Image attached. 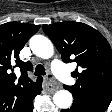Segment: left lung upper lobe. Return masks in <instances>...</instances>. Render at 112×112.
I'll use <instances>...</instances> for the list:
<instances>
[{
    "label": "left lung upper lobe",
    "instance_id": "left-lung-upper-lobe-1",
    "mask_svg": "<svg viewBox=\"0 0 112 112\" xmlns=\"http://www.w3.org/2000/svg\"><path fill=\"white\" fill-rule=\"evenodd\" d=\"M43 31L65 63L76 61L80 69L71 75L72 86L64 85L74 100L110 104L112 101V50L94 28L74 21L43 25Z\"/></svg>",
    "mask_w": 112,
    "mask_h": 112
}]
</instances>
